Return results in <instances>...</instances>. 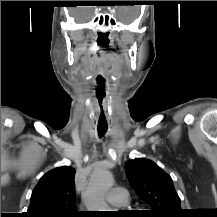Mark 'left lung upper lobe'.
<instances>
[{
    "label": "left lung upper lobe",
    "instance_id": "1",
    "mask_svg": "<svg viewBox=\"0 0 217 217\" xmlns=\"http://www.w3.org/2000/svg\"><path fill=\"white\" fill-rule=\"evenodd\" d=\"M129 183L153 210L151 217H182L180 198L171 177L148 159L136 158L125 164Z\"/></svg>",
    "mask_w": 217,
    "mask_h": 217
}]
</instances>
